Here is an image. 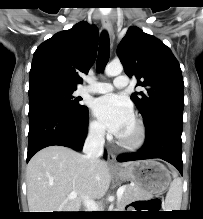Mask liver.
<instances>
[{"label":"liver","mask_w":203,"mask_h":219,"mask_svg":"<svg viewBox=\"0 0 203 219\" xmlns=\"http://www.w3.org/2000/svg\"><path fill=\"white\" fill-rule=\"evenodd\" d=\"M26 176L30 212H78L85 197L104 196L111 182L105 161L91 166L85 155L59 145L37 152L28 163ZM72 192L77 197L68 199Z\"/></svg>","instance_id":"1"}]
</instances>
